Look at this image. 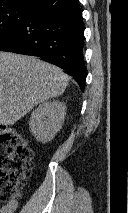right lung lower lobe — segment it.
<instances>
[{"label": "right lung lower lobe", "mask_w": 128, "mask_h": 213, "mask_svg": "<svg viewBox=\"0 0 128 213\" xmlns=\"http://www.w3.org/2000/svg\"><path fill=\"white\" fill-rule=\"evenodd\" d=\"M83 19L79 0H40L0 51L38 56L66 70L84 90Z\"/></svg>", "instance_id": "1"}]
</instances>
